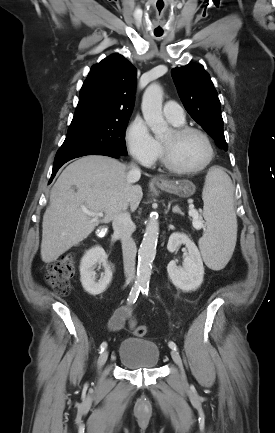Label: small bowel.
<instances>
[{"label":"small bowel","instance_id":"1","mask_svg":"<svg viewBox=\"0 0 275 433\" xmlns=\"http://www.w3.org/2000/svg\"><path fill=\"white\" fill-rule=\"evenodd\" d=\"M133 306H121L117 308L114 314L108 321V327L111 331H119L128 321L129 329L132 330L137 323L136 317L133 315Z\"/></svg>","mask_w":275,"mask_h":433}]
</instances>
